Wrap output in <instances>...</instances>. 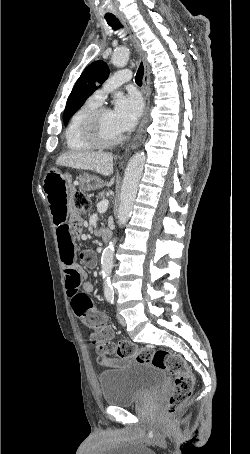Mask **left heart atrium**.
Returning a JSON list of instances; mask_svg holds the SVG:
<instances>
[{
  "instance_id": "obj_1",
  "label": "left heart atrium",
  "mask_w": 250,
  "mask_h": 454,
  "mask_svg": "<svg viewBox=\"0 0 250 454\" xmlns=\"http://www.w3.org/2000/svg\"><path fill=\"white\" fill-rule=\"evenodd\" d=\"M143 110V102L138 93H130L116 99L112 111L113 120L119 132L131 130L137 123Z\"/></svg>"
}]
</instances>
